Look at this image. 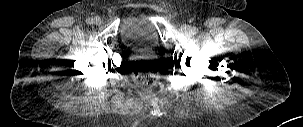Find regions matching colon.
I'll use <instances>...</instances> for the list:
<instances>
[{
  "mask_svg": "<svg viewBox=\"0 0 303 127\" xmlns=\"http://www.w3.org/2000/svg\"><path fill=\"white\" fill-rule=\"evenodd\" d=\"M157 72L156 64L152 62H141L137 66V74L143 85L154 86V78Z\"/></svg>",
  "mask_w": 303,
  "mask_h": 127,
  "instance_id": "colon-1",
  "label": "colon"
}]
</instances>
